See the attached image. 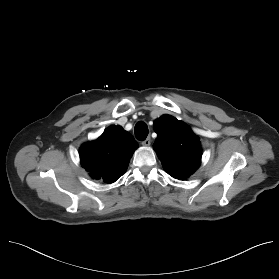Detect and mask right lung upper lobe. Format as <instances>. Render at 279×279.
I'll return each mask as SVG.
<instances>
[{"instance_id": "1", "label": "right lung upper lobe", "mask_w": 279, "mask_h": 279, "mask_svg": "<svg viewBox=\"0 0 279 279\" xmlns=\"http://www.w3.org/2000/svg\"><path fill=\"white\" fill-rule=\"evenodd\" d=\"M137 147L130 133L120 126H110L98 139L81 147V165L92 178L110 184L126 172Z\"/></svg>"}]
</instances>
